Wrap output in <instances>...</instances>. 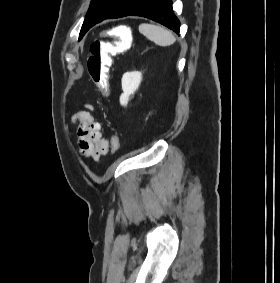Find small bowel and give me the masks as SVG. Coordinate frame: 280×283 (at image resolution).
Returning a JSON list of instances; mask_svg holds the SVG:
<instances>
[{"label":"small bowel","instance_id":"c3829d8e","mask_svg":"<svg viewBox=\"0 0 280 283\" xmlns=\"http://www.w3.org/2000/svg\"><path fill=\"white\" fill-rule=\"evenodd\" d=\"M92 106L88 110L76 112L72 117V123L76 126V135L80 154L85 158L98 161L101 156L107 155L110 151L115 152L114 142L119 139L114 135L110 140L102 134L101 124L93 114Z\"/></svg>","mask_w":280,"mask_h":283}]
</instances>
